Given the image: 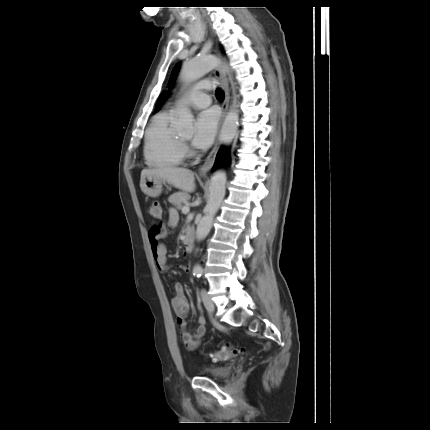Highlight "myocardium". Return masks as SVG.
Returning <instances> with one entry per match:
<instances>
[{
    "mask_svg": "<svg viewBox=\"0 0 430 430\" xmlns=\"http://www.w3.org/2000/svg\"><path fill=\"white\" fill-rule=\"evenodd\" d=\"M178 142L181 146L182 152L186 153L188 152V148H187V142L186 140L182 139L180 136H178Z\"/></svg>",
    "mask_w": 430,
    "mask_h": 430,
    "instance_id": "f54148a6",
    "label": "myocardium"
}]
</instances>
